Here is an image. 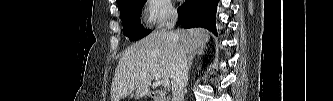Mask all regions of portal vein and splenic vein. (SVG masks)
Segmentation results:
<instances>
[{
  "label": "portal vein and splenic vein",
  "instance_id": "1",
  "mask_svg": "<svg viewBox=\"0 0 333 101\" xmlns=\"http://www.w3.org/2000/svg\"><path fill=\"white\" fill-rule=\"evenodd\" d=\"M155 80L158 81L159 84H161L163 87H168L170 82L168 79H162L161 80V77L159 75H153L152 76Z\"/></svg>",
  "mask_w": 333,
  "mask_h": 101
}]
</instances>
